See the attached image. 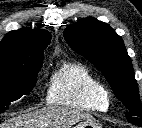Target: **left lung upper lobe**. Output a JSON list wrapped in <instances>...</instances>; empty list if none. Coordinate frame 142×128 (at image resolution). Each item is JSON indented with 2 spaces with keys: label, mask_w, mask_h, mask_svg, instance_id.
<instances>
[{
  "label": "left lung upper lobe",
  "mask_w": 142,
  "mask_h": 128,
  "mask_svg": "<svg viewBox=\"0 0 142 128\" xmlns=\"http://www.w3.org/2000/svg\"><path fill=\"white\" fill-rule=\"evenodd\" d=\"M64 38L74 51L101 70L115 96L128 108L127 120L142 127L138 86L121 37L106 23L88 17L69 25Z\"/></svg>",
  "instance_id": "1"
}]
</instances>
